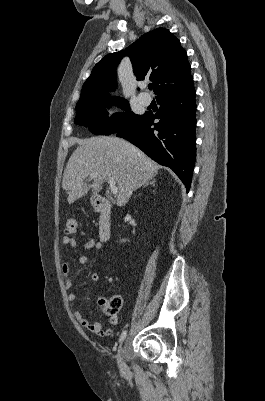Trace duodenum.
I'll return each mask as SVG.
<instances>
[{
    "instance_id": "410a0bca",
    "label": "duodenum",
    "mask_w": 265,
    "mask_h": 401,
    "mask_svg": "<svg viewBox=\"0 0 265 401\" xmlns=\"http://www.w3.org/2000/svg\"><path fill=\"white\" fill-rule=\"evenodd\" d=\"M93 207L99 214L98 218V234L101 241H108L111 237V204L101 196L95 197Z\"/></svg>"
}]
</instances>
